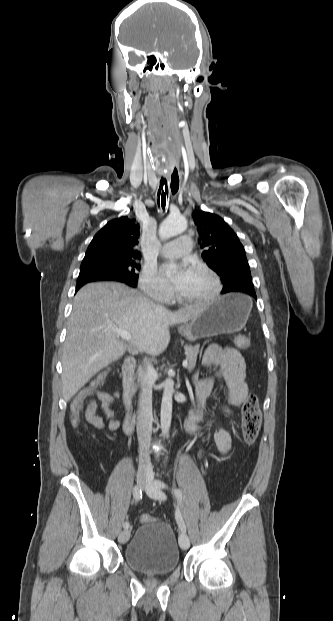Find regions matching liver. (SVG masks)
Segmentation results:
<instances>
[{
  "mask_svg": "<svg viewBox=\"0 0 333 621\" xmlns=\"http://www.w3.org/2000/svg\"><path fill=\"white\" fill-rule=\"evenodd\" d=\"M204 303L171 312L120 283H90L76 294L62 356V393L69 401L96 373L131 346L159 355L170 342L169 327L199 315ZM113 328L128 331L129 345Z\"/></svg>",
  "mask_w": 333,
  "mask_h": 621,
  "instance_id": "6515ba94",
  "label": "liver"
}]
</instances>
